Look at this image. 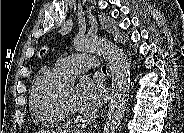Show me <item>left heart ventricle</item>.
<instances>
[{"label": "left heart ventricle", "mask_w": 184, "mask_h": 133, "mask_svg": "<svg viewBox=\"0 0 184 133\" xmlns=\"http://www.w3.org/2000/svg\"><path fill=\"white\" fill-rule=\"evenodd\" d=\"M62 92V96L66 102V104L68 105V107L74 112V113H78V110L75 108L74 105V87L73 86H68V87H64L61 89Z\"/></svg>", "instance_id": "obj_1"}]
</instances>
